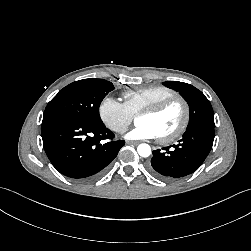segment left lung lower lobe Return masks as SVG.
<instances>
[{"label":"left lung lower lobe","instance_id":"0a47b994","mask_svg":"<svg viewBox=\"0 0 251 251\" xmlns=\"http://www.w3.org/2000/svg\"><path fill=\"white\" fill-rule=\"evenodd\" d=\"M214 127L199 124L187 128L177 145L154 150L148 165L150 173L159 179L172 181L196 171L212 148Z\"/></svg>","mask_w":251,"mask_h":251}]
</instances>
